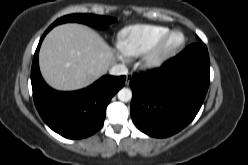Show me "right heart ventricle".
Wrapping results in <instances>:
<instances>
[{"instance_id": "right-heart-ventricle-1", "label": "right heart ventricle", "mask_w": 248, "mask_h": 165, "mask_svg": "<svg viewBox=\"0 0 248 165\" xmlns=\"http://www.w3.org/2000/svg\"><path fill=\"white\" fill-rule=\"evenodd\" d=\"M168 27L152 24H141L125 29L119 39V48L127 57L143 54L163 34Z\"/></svg>"}]
</instances>
